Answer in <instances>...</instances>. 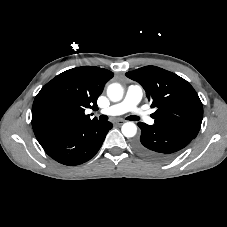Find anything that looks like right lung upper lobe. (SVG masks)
I'll list each match as a JSON object with an SVG mask.
<instances>
[{"label":"right lung upper lobe","mask_w":227,"mask_h":227,"mask_svg":"<svg viewBox=\"0 0 227 227\" xmlns=\"http://www.w3.org/2000/svg\"><path fill=\"white\" fill-rule=\"evenodd\" d=\"M113 72L83 66L67 70L48 82L35 97L32 127L43 145L68 129L98 122L86 115V108H97V99Z\"/></svg>","instance_id":"obj_1"}]
</instances>
